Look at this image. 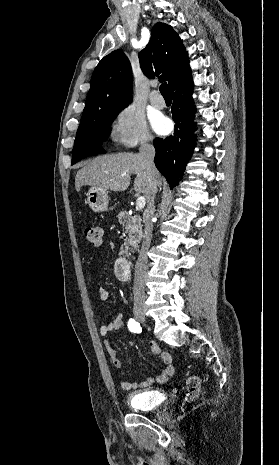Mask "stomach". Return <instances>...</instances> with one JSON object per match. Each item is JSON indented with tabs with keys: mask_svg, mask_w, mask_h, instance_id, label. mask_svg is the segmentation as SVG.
<instances>
[{
	"mask_svg": "<svg viewBox=\"0 0 279 465\" xmlns=\"http://www.w3.org/2000/svg\"><path fill=\"white\" fill-rule=\"evenodd\" d=\"M87 203L96 213L108 210L109 198L106 190L91 187L87 192Z\"/></svg>",
	"mask_w": 279,
	"mask_h": 465,
	"instance_id": "1",
	"label": "stomach"
}]
</instances>
